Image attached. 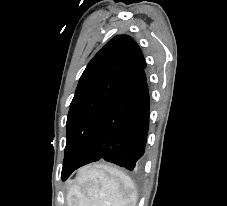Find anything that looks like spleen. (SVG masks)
<instances>
[{
    "instance_id": "1",
    "label": "spleen",
    "mask_w": 227,
    "mask_h": 206,
    "mask_svg": "<svg viewBox=\"0 0 227 206\" xmlns=\"http://www.w3.org/2000/svg\"><path fill=\"white\" fill-rule=\"evenodd\" d=\"M137 197L133 181L123 172L98 166L77 178L69 189L67 202L69 206H136Z\"/></svg>"
}]
</instances>
